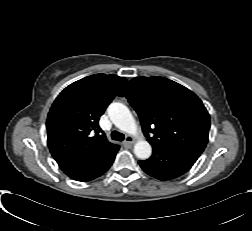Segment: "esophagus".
Listing matches in <instances>:
<instances>
[{
  "instance_id": "1",
  "label": "esophagus",
  "mask_w": 252,
  "mask_h": 231,
  "mask_svg": "<svg viewBox=\"0 0 252 231\" xmlns=\"http://www.w3.org/2000/svg\"><path fill=\"white\" fill-rule=\"evenodd\" d=\"M133 143H134V138L132 136H127L126 140L124 141V144L132 145Z\"/></svg>"
}]
</instances>
